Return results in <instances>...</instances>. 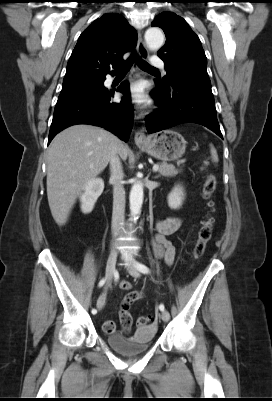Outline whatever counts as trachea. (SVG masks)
Masks as SVG:
<instances>
[{"mask_svg": "<svg viewBox=\"0 0 272 401\" xmlns=\"http://www.w3.org/2000/svg\"><path fill=\"white\" fill-rule=\"evenodd\" d=\"M136 62V64L145 71H157L156 68L152 67L149 63L141 59L135 52L131 54V56L127 59V61L121 66L119 72L120 73H127L130 70L131 65L133 62Z\"/></svg>", "mask_w": 272, "mask_h": 401, "instance_id": "3493384b", "label": "trachea"}]
</instances>
